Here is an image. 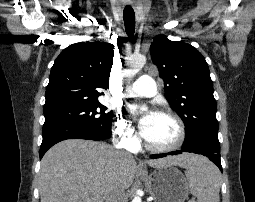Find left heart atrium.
Here are the masks:
<instances>
[{"label":"left heart atrium","instance_id":"39dd6f15","mask_svg":"<svg viewBox=\"0 0 255 202\" xmlns=\"http://www.w3.org/2000/svg\"><path fill=\"white\" fill-rule=\"evenodd\" d=\"M135 109H136V106H131L130 107L131 111H135ZM154 114L155 113H152V112L148 113L139 120V128H140V131H141L142 135L146 132V130H147Z\"/></svg>","mask_w":255,"mask_h":202}]
</instances>
